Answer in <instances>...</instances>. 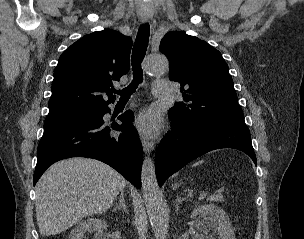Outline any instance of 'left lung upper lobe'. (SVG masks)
<instances>
[{"instance_id": "obj_1", "label": "left lung upper lobe", "mask_w": 304, "mask_h": 239, "mask_svg": "<svg viewBox=\"0 0 304 239\" xmlns=\"http://www.w3.org/2000/svg\"><path fill=\"white\" fill-rule=\"evenodd\" d=\"M160 51L170 62V80L181 84L184 100L169 110L183 125L197 130L217 122L243 123L233 80L221 53L207 42L183 32H169Z\"/></svg>"}]
</instances>
